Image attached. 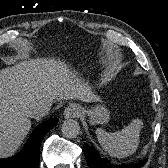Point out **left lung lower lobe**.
Listing matches in <instances>:
<instances>
[{"instance_id": "obj_1", "label": "left lung lower lobe", "mask_w": 168, "mask_h": 168, "mask_svg": "<svg viewBox=\"0 0 168 168\" xmlns=\"http://www.w3.org/2000/svg\"><path fill=\"white\" fill-rule=\"evenodd\" d=\"M84 155L89 168H141L147 161V159H143L131 164L115 165L110 163L107 159L102 158L93 146L87 144L84 148Z\"/></svg>"}]
</instances>
